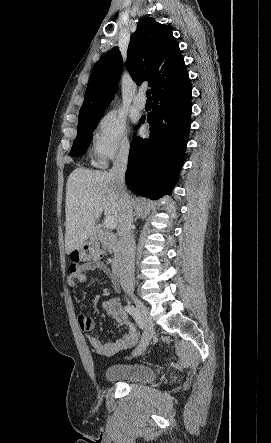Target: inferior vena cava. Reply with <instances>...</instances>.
I'll list each match as a JSON object with an SVG mask.
<instances>
[{
	"label": "inferior vena cava",
	"mask_w": 271,
	"mask_h": 443,
	"mask_svg": "<svg viewBox=\"0 0 271 443\" xmlns=\"http://www.w3.org/2000/svg\"><path fill=\"white\" fill-rule=\"evenodd\" d=\"M129 156V144H122L121 150L115 158L113 168L109 172L116 188L120 192L121 218L118 223L119 249L116 255L115 269L120 277L122 289L127 291L126 296H131L135 285L134 261L135 241L131 233L133 223V210L131 208L130 196L126 192L125 172L127 170Z\"/></svg>",
	"instance_id": "602c4592"
}]
</instances>
